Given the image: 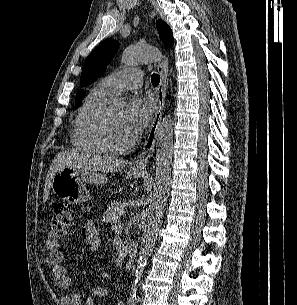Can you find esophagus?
<instances>
[{"label": "esophagus", "instance_id": "34e87169", "mask_svg": "<svg viewBox=\"0 0 297 305\" xmlns=\"http://www.w3.org/2000/svg\"><path fill=\"white\" fill-rule=\"evenodd\" d=\"M157 71L161 77L157 89L158 107L152 124L148 130L147 138L143 144L140 154L133 163V168L138 171H145L150 158L153 155L157 132L161 124L163 110L165 107V98L167 92V74H168V57L164 55L157 65Z\"/></svg>", "mask_w": 297, "mask_h": 305}]
</instances>
